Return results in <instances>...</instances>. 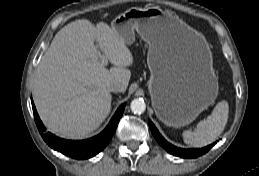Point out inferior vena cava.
Segmentation results:
<instances>
[{
	"mask_svg": "<svg viewBox=\"0 0 259 176\" xmlns=\"http://www.w3.org/2000/svg\"><path fill=\"white\" fill-rule=\"evenodd\" d=\"M108 89L111 92H120V86L116 83L110 84Z\"/></svg>",
	"mask_w": 259,
	"mask_h": 176,
	"instance_id": "602c4592",
	"label": "inferior vena cava"
}]
</instances>
